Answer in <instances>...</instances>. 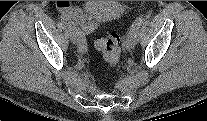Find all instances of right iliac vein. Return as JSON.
Instances as JSON below:
<instances>
[{
    "instance_id": "63e3f726",
    "label": "right iliac vein",
    "mask_w": 207,
    "mask_h": 121,
    "mask_svg": "<svg viewBox=\"0 0 207 121\" xmlns=\"http://www.w3.org/2000/svg\"><path fill=\"white\" fill-rule=\"evenodd\" d=\"M69 37L70 40L74 43L78 45V36H77V32L76 29L74 27L69 28ZM86 50V47L80 48V51L84 52Z\"/></svg>"
}]
</instances>
